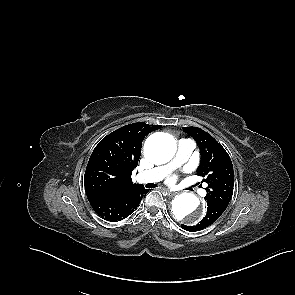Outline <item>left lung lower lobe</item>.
Returning a JSON list of instances; mask_svg holds the SVG:
<instances>
[{
    "label": "left lung lower lobe",
    "instance_id": "left-lung-lower-lobe-1",
    "mask_svg": "<svg viewBox=\"0 0 295 295\" xmlns=\"http://www.w3.org/2000/svg\"><path fill=\"white\" fill-rule=\"evenodd\" d=\"M227 206V203L209 200L207 201L206 216L196 225L187 226L182 224L181 228L190 232L203 230L213 224L222 215Z\"/></svg>",
    "mask_w": 295,
    "mask_h": 295
}]
</instances>
